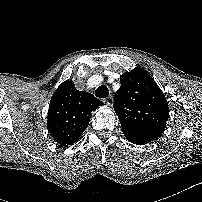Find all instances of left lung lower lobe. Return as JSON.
Returning <instances> with one entry per match:
<instances>
[{
  "instance_id": "1",
  "label": "left lung lower lobe",
  "mask_w": 202,
  "mask_h": 202,
  "mask_svg": "<svg viewBox=\"0 0 202 202\" xmlns=\"http://www.w3.org/2000/svg\"><path fill=\"white\" fill-rule=\"evenodd\" d=\"M125 137L132 143L134 144H137V145H144V144H147L151 141H147V140H143V139H138V138H135V137H131V136H127L125 135Z\"/></svg>"
}]
</instances>
